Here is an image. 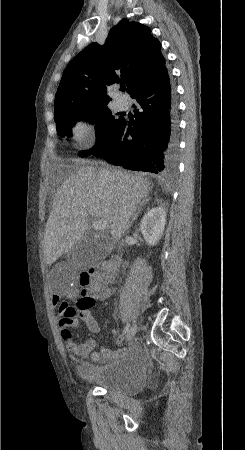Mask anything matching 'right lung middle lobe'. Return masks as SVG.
<instances>
[{"label":"right lung middle lobe","mask_w":245,"mask_h":450,"mask_svg":"<svg viewBox=\"0 0 245 450\" xmlns=\"http://www.w3.org/2000/svg\"><path fill=\"white\" fill-rule=\"evenodd\" d=\"M54 117L56 121L57 131L61 136H72L71 128L77 120H96L99 128L98 145L89 152H81L80 157H86L89 153H95L103 150L114 140L117 133L122 116L116 118L106 105L94 107H82L76 104H64L55 107Z\"/></svg>","instance_id":"right-lung-middle-lobe-1"}]
</instances>
